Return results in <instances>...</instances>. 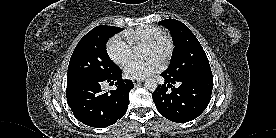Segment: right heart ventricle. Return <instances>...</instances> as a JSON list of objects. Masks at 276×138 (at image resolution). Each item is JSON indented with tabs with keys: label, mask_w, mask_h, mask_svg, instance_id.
<instances>
[{
	"label": "right heart ventricle",
	"mask_w": 276,
	"mask_h": 138,
	"mask_svg": "<svg viewBox=\"0 0 276 138\" xmlns=\"http://www.w3.org/2000/svg\"><path fill=\"white\" fill-rule=\"evenodd\" d=\"M163 32L158 26L145 25L124 32V37L131 45L139 46L148 43Z\"/></svg>",
	"instance_id": "1"
}]
</instances>
